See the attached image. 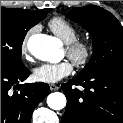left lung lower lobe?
<instances>
[{
	"mask_svg": "<svg viewBox=\"0 0 123 123\" xmlns=\"http://www.w3.org/2000/svg\"><path fill=\"white\" fill-rule=\"evenodd\" d=\"M72 85L84 87L83 91ZM67 98L62 123H123V66L77 75L62 85Z\"/></svg>",
	"mask_w": 123,
	"mask_h": 123,
	"instance_id": "0a47b994",
	"label": "left lung lower lobe"
}]
</instances>
